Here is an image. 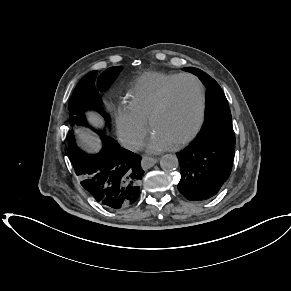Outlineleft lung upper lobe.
<instances>
[{"mask_svg":"<svg viewBox=\"0 0 291 291\" xmlns=\"http://www.w3.org/2000/svg\"><path fill=\"white\" fill-rule=\"evenodd\" d=\"M183 70L198 76L207 87L206 118L196 138L235 144L231 112L221 87L212 77L200 69L187 67Z\"/></svg>","mask_w":291,"mask_h":291,"instance_id":"5c2ea615","label":"left lung upper lobe"}]
</instances>
